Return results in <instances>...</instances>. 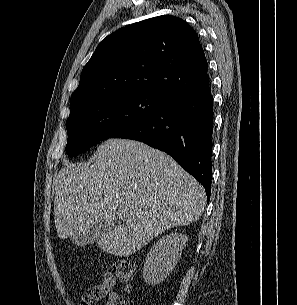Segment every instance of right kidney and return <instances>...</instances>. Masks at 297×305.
I'll list each match as a JSON object with an SVG mask.
<instances>
[{"label":"right kidney","instance_id":"ca27d5eb","mask_svg":"<svg viewBox=\"0 0 297 305\" xmlns=\"http://www.w3.org/2000/svg\"><path fill=\"white\" fill-rule=\"evenodd\" d=\"M186 235L172 233L162 237L149 251L143 267V279L149 285L164 281L180 259Z\"/></svg>","mask_w":297,"mask_h":305}]
</instances>
